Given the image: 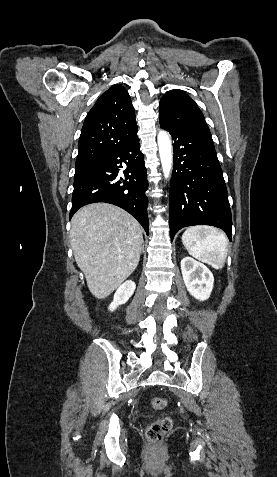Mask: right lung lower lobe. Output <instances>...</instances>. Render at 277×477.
<instances>
[{
	"label": "right lung lower lobe",
	"instance_id": "right-lung-lower-lobe-1",
	"mask_svg": "<svg viewBox=\"0 0 277 477\" xmlns=\"http://www.w3.org/2000/svg\"><path fill=\"white\" fill-rule=\"evenodd\" d=\"M122 165L127 168L123 172L124 176L120 177L119 168ZM147 188L144 155L140 152L139 138L136 136L117 149L76 169L70 218L87 204L111 203L133 215L149 234L148 199L145 195Z\"/></svg>",
	"mask_w": 277,
	"mask_h": 477
}]
</instances>
